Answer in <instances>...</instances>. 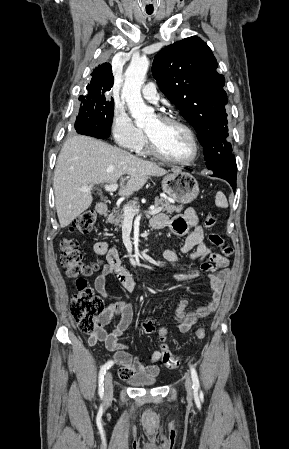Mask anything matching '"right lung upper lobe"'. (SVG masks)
Wrapping results in <instances>:
<instances>
[{"label": "right lung upper lobe", "mask_w": 289, "mask_h": 449, "mask_svg": "<svg viewBox=\"0 0 289 449\" xmlns=\"http://www.w3.org/2000/svg\"><path fill=\"white\" fill-rule=\"evenodd\" d=\"M91 75H92L91 82L86 86L88 96L99 93H105L111 90L114 83V78L112 74L111 65L109 63L99 65L93 71V73H91Z\"/></svg>", "instance_id": "1"}]
</instances>
